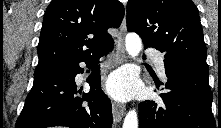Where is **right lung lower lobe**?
Here are the masks:
<instances>
[{
	"label": "right lung lower lobe",
	"mask_w": 221,
	"mask_h": 128,
	"mask_svg": "<svg viewBox=\"0 0 221 128\" xmlns=\"http://www.w3.org/2000/svg\"><path fill=\"white\" fill-rule=\"evenodd\" d=\"M112 49L113 44H110L91 58L73 59L34 75L33 87L15 127L111 128L112 106L100 88L98 63L99 58ZM80 62H85L87 67L92 69L88 77L90 91L83 93L82 98L74 96L78 92L75 76L84 72L79 66Z\"/></svg>",
	"instance_id": "right-lung-lower-lobe-1"
}]
</instances>
